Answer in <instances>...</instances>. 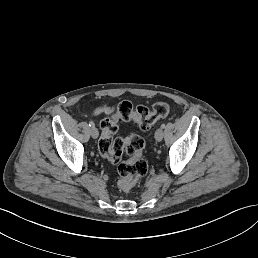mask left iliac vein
Returning <instances> with one entry per match:
<instances>
[{"instance_id":"obj_1","label":"left iliac vein","mask_w":258,"mask_h":258,"mask_svg":"<svg viewBox=\"0 0 258 258\" xmlns=\"http://www.w3.org/2000/svg\"><path fill=\"white\" fill-rule=\"evenodd\" d=\"M156 142H161V139L163 138V129L162 128H157L156 129Z\"/></svg>"}]
</instances>
